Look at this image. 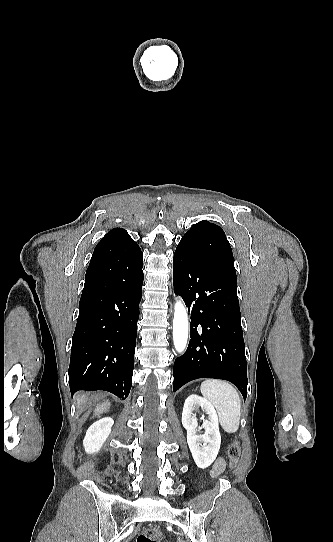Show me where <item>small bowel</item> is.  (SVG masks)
<instances>
[{
	"label": "small bowel",
	"instance_id": "obj_1",
	"mask_svg": "<svg viewBox=\"0 0 333 542\" xmlns=\"http://www.w3.org/2000/svg\"><path fill=\"white\" fill-rule=\"evenodd\" d=\"M226 462L223 458H217L211 468L210 475L213 479L219 477L225 470Z\"/></svg>",
	"mask_w": 333,
	"mask_h": 542
}]
</instances>
